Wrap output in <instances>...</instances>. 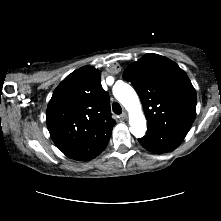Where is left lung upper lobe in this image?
Returning a JSON list of instances; mask_svg holds the SVG:
<instances>
[{"label":"left lung upper lobe","instance_id":"1","mask_svg":"<svg viewBox=\"0 0 221 221\" xmlns=\"http://www.w3.org/2000/svg\"><path fill=\"white\" fill-rule=\"evenodd\" d=\"M123 78L138 93L148 127L190 130L196 115V92L176 63L157 54H146L125 69Z\"/></svg>","mask_w":221,"mask_h":221}]
</instances>
